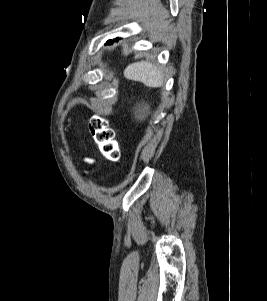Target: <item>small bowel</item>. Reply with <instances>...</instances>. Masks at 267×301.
Here are the masks:
<instances>
[{
	"label": "small bowel",
	"instance_id": "obj_1",
	"mask_svg": "<svg viewBox=\"0 0 267 301\" xmlns=\"http://www.w3.org/2000/svg\"><path fill=\"white\" fill-rule=\"evenodd\" d=\"M84 163L87 165H93L95 163V160L90 157H86L83 159ZM89 171H84L83 173H88Z\"/></svg>",
	"mask_w": 267,
	"mask_h": 301
}]
</instances>
